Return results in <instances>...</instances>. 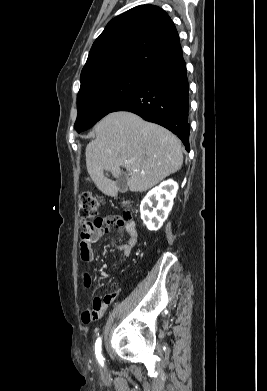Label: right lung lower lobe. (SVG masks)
<instances>
[{
  "label": "right lung lower lobe",
  "mask_w": 267,
  "mask_h": 391,
  "mask_svg": "<svg viewBox=\"0 0 267 391\" xmlns=\"http://www.w3.org/2000/svg\"><path fill=\"white\" fill-rule=\"evenodd\" d=\"M189 84L183 55L152 69L143 84L111 112H133L176 134L189 152Z\"/></svg>",
  "instance_id": "98d812e1"
}]
</instances>
